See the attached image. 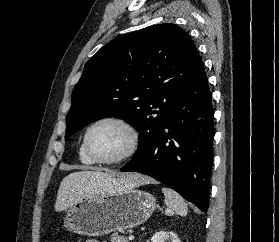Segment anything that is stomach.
Returning <instances> with one entry per match:
<instances>
[{
	"label": "stomach",
	"instance_id": "0dacf381",
	"mask_svg": "<svg viewBox=\"0 0 279 242\" xmlns=\"http://www.w3.org/2000/svg\"><path fill=\"white\" fill-rule=\"evenodd\" d=\"M156 207L155 197L136 188L91 195L66 212L63 227L86 236H102L144 223Z\"/></svg>",
	"mask_w": 279,
	"mask_h": 242
}]
</instances>
